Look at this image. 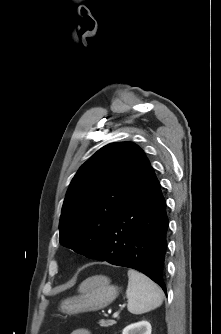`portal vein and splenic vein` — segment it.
Here are the masks:
<instances>
[{"label":"portal vein and splenic vein","mask_w":221,"mask_h":334,"mask_svg":"<svg viewBox=\"0 0 221 334\" xmlns=\"http://www.w3.org/2000/svg\"><path fill=\"white\" fill-rule=\"evenodd\" d=\"M118 316V313H114L113 317L116 318Z\"/></svg>","instance_id":"18ae733b"}]
</instances>
